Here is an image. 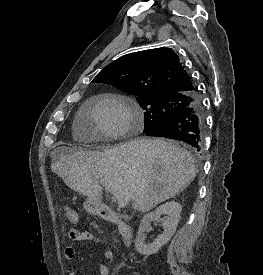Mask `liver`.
<instances>
[{
    "instance_id": "6515ba94",
    "label": "liver",
    "mask_w": 263,
    "mask_h": 275,
    "mask_svg": "<svg viewBox=\"0 0 263 275\" xmlns=\"http://www.w3.org/2000/svg\"><path fill=\"white\" fill-rule=\"evenodd\" d=\"M51 169L72 190L100 199L101 184L133 201L146 212L175 197L196 177L187 150L162 139L138 138L103 152L62 149Z\"/></svg>"
}]
</instances>
